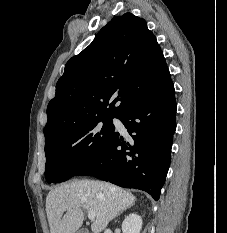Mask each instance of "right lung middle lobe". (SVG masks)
<instances>
[{"label": "right lung middle lobe", "instance_id": "1", "mask_svg": "<svg viewBox=\"0 0 227 233\" xmlns=\"http://www.w3.org/2000/svg\"><path fill=\"white\" fill-rule=\"evenodd\" d=\"M114 130L111 117L99 118L45 143L47 182L60 183L75 176L99 154Z\"/></svg>", "mask_w": 227, "mask_h": 233}]
</instances>
